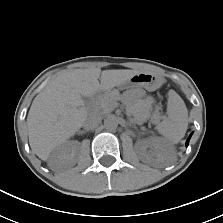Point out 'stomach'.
<instances>
[{
    "mask_svg": "<svg viewBox=\"0 0 223 223\" xmlns=\"http://www.w3.org/2000/svg\"><path fill=\"white\" fill-rule=\"evenodd\" d=\"M163 80L161 77L146 72L135 74L127 83L119 86V89L144 88L147 91H154L161 87Z\"/></svg>",
    "mask_w": 223,
    "mask_h": 223,
    "instance_id": "1",
    "label": "stomach"
}]
</instances>
